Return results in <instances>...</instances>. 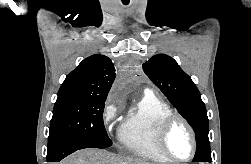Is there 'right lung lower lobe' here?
<instances>
[{
    "instance_id": "obj_1",
    "label": "right lung lower lobe",
    "mask_w": 251,
    "mask_h": 164,
    "mask_svg": "<svg viewBox=\"0 0 251 164\" xmlns=\"http://www.w3.org/2000/svg\"><path fill=\"white\" fill-rule=\"evenodd\" d=\"M85 148H103L99 145L82 140H62L48 146L47 162H59L69 154Z\"/></svg>"
}]
</instances>
